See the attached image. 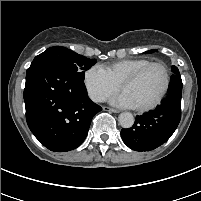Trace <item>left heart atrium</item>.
<instances>
[{
    "label": "left heart atrium",
    "instance_id": "left-heart-atrium-1",
    "mask_svg": "<svg viewBox=\"0 0 201 201\" xmlns=\"http://www.w3.org/2000/svg\"><path fill=\"white\" fill-rule=\"evenodd\" d=\"M111 103L119 107H126V108L134 107V104L124 92L113 97L111 99Z\"/></svg>",
    "mask_w": 201,
    "mask_h": 201
}]
</instances>
